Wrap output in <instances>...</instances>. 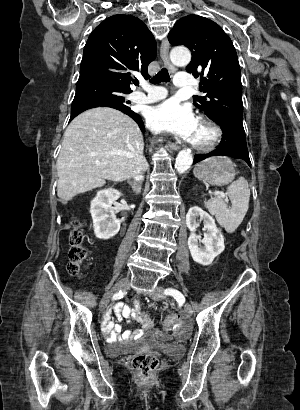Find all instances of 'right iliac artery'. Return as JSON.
I'll list each match as a JSON object with an SVG mask.
<instances>
[{
  "label": "right iliac artery",
  "instance_id": "1",
  "mask_svg": "<svg viewBox=\"0 0 300 410\" xmlns=\"http://www.w3.org/2000/svg\"><path fill=\"white\" fill-rule=\"evenodd\" d=\"M124 294H125V292L119 291V292L114 294L113 298L120 299L124 296Z\"/></svg>",
  "mask_w": 300,
  "mask_h": 410
}]
</instances>
